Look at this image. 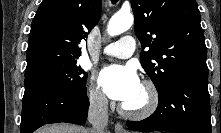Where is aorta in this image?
<instances>
[{"label": "aorta", "mask_w": 221, "mask_h": 133, "mask_svg": "<svg viewBox=\"0 0 221 133\" xmlns=\"http://www.w3.org/2000/svg\"><path fill=\"white\" fill-rule=\"evenodd\" d=\"M134 22V17L131 13H116L110 19L107 32L110 36L119 35L127 31Z\"/></svg>", "instance_id": "762f6f07"}]
</instances>
